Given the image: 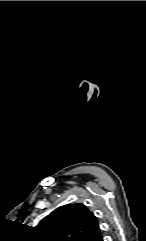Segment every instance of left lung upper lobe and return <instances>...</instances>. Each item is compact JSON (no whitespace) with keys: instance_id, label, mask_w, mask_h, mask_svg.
Returning a JSON list of instances; mask_svg holds the SVG:
<instances>
[{"instance_id":"5c2ea615","label":"left lung upper lobe","mask_w":146,"mask_h":241,"mask_svg":"<svg viewBox=\"0 0 146 241\" xmlns=\"http://www.w3.org/2000/svg\"><path fill=\"white\" fill-rule=\"evenodd\" d=\"M35 229L41 241H86L100 230L97 218L81 203L55 209Z\"/></svg>"}]
</instances>
